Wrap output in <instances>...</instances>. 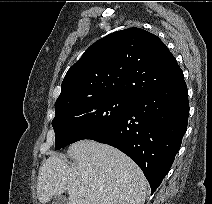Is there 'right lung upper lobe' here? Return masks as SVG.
Returning a JSON list of instances; mask_svg holds the SVG:
<instances>
[{
    "label": "right lung upper lobe",
    "mask_w": 212,
    "mask_h": 204,
    "mask_svg": "<svg viewBox=\"0 0 212 204\" xmlns=\"http://www.w3.org/2000/svg\"><path fill=\"white\" fill-rule=\"evenodd\" d=\"M182 77L160 38L140 28L120 30L96 41L70 67L55 109L103 96L132 98Z\"/></svg>",
    "instance_id": "cb5924a9"
}]
</instances>
